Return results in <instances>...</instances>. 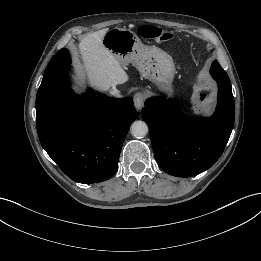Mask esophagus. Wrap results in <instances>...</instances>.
Returning <instances> with one entry per match:
<instances>
[{"label": "esophagus", "instance_id": "34e87169", "mask_svg": "<svg viewBox=\"0 0 261 261\" xmlns=\"http://www.w3.org/2000/svg\"><path fill=\"white\" fill-rule=\"evenodd\" d=\"M145 99L146 97L142 92H138L134 95V106L138 111L142 110L144 107Z\"/></svg>", "mask_w": 261, "mask_h": 261}]
</instances>
